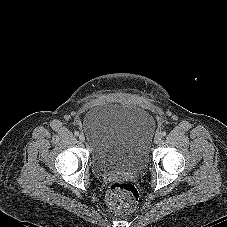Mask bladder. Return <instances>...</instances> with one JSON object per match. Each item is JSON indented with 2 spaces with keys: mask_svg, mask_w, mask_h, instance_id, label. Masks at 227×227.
<instances>
[{
  "mask_svg": "<svg viewBox=\"0 0 227 227\" xmlns=\"http://www.w3.org/2000/svg\"><path fill=\"white\" fill-rule=\"evenodd\" d=\"M82 126L97 174H121L148 163L155 128L149 111L131 104L104 103L86 113Z\"/></svg>",
  "mask_w": 227,
  "mask_h": 227,
  "instance_id": "1",
  "label": "bladder"
}]
</instances>
